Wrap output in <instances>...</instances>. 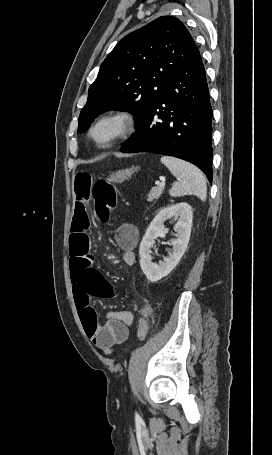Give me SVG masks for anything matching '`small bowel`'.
Here are the masks:
<instances>
[{
    "label": "small bowel",
    "instance_id": "c3829d8e",
    "mask_svg": "<svg viewBox=\"0 0 272 455\" xmlns=\"http://www.w3.org/2000/svg\"><path fill=\"white\" fill-rule=\"evenodd\" d=\"M93 176L85 171L74 177L76 206L70 231V272L73 294L81 323L87 337L105 354L114 352V347L125 342L129 327L133 323L130 311H111L106 314V322L100 325L97 312L91 305V298L111 299L117 296L115 288L94 268V257L90 252L88 230L90 217L88 203L94 186ZM139 238L135 225L123 223L115 232V240L123 251V261L127 265L136 262L134 249Z\"/></svg>",
    "mask_w": 272,
    "mask_h": 455
}]
</instances>
